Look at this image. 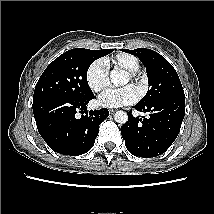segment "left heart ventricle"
Listing matches in <instances>:
<instances>
[{
  "instance_id": "left-heart-ventricle-1",
  "label": "left heart ventricle",
  "mask_w": 214,
  "mask_h": 214,
  "mask_svg": "<svg viewBox=\"0 0 214 214\" xmlns=\"http://www.w3.org/2000/svg\"><path fill=\"white\" fill-rule=\"evenodd\" d=\"M128 83H129V79H128V77H126L125 81L123 82V85H126Z\"/></svg>"
}]
</instances>
